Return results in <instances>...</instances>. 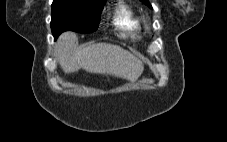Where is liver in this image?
Listing matches in <instances>:
<instances>
[{
	"instance_id": "obj_1",
	"label": "liver",
	"mask_w": 227,
	"mask_h": 142,
	"mask_svg": "<svg viewBox=\"0 0 227 142\" xmlns=\"http://www.w3.org/2000/svg\"><path fill=\"white\" fill-rule=\"evenodd\" d=\"M77 36L63 33L55 47L58 62L65 73L84 69L90 73L112 75L135 82L144 70L142 62L120 46L97 43L75 50Z\"/></svg>"
}]
</instances>
